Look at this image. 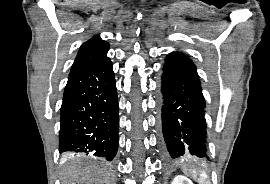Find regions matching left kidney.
I'll return each mask as SVG.
<instances>
[{"label": "left kidney", "mask_w": 270, "mask_h": 184, "mask_svg": "<svg viewBox=\"0 0 270 184\" xmlns=\"http://www.w3.org/2000/svg\"><path fill=\"white\" fill-rule=\"evenodd\" d=\"M171 184H193L190 179L184 176H176Z\"/></svg>", "instance_id": "obj_1"}]
</instances>
